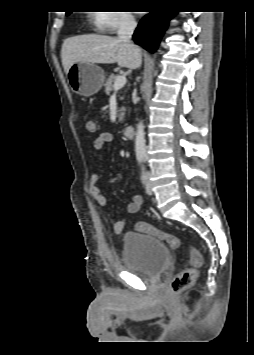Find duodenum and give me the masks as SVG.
<instances>
[{
    "instance_id": "duodenum-1",
    "label": "duodenum",
    "mask_w": 254,
    "mask_h": 355,
    "mask_svg": "<svg viewBox=\"0 0 254 355\" xmlns=\"http://www.w3.org/2000/svg\"><path fill=\"white\" fill-rule=\"evenodd\" d=\"M123 134L127 138H131L134 135V127L132 125H126L123 128Z\"/></svg>"
}]
</instances>
